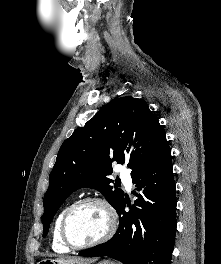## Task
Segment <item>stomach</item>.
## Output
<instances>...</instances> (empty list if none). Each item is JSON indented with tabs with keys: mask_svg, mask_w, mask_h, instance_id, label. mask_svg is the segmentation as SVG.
Returning a JSON list of instances; mask_svg holds the SVG:
<instances>
[{
	"mask_svg": "<svg viewBox=\"0 0 221 264\" xmlns=\"http://www.w3.org/2000/svg\"><path fill=\"white\" fill-rule=\"evenodd\" d=\"M37 264H79V263H62L57 259H43ZM98 264H116V263L109 261V260H104V261L99 262Z\"/></svg>",
	"mask_w": 221,
	"mask_h": 264,
	"instance_id": "stomach-1",
	"label": "stomach"
}]
</instances>
